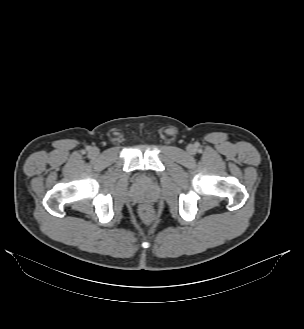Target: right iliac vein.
<instances>
[{
	"label": "right iliac vein",
	"mask_w": 304,
	"mask_h": 329,
	"mask_svg": "<svg viewBox=\"0 0 304 329\" xmlns=\"http://www.w3.org/2000/svg\"><path fill=\"white\" fill-rule=\"evenodd\" d=\"M89 153L92 157H96L99 154V149L96 148V147H93V148L90 149Z\"/></svg>",
	"instance_id": "obj_1"
}]
</instances>
